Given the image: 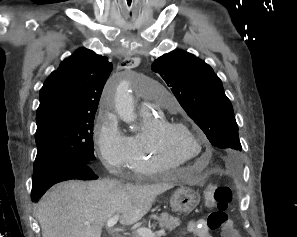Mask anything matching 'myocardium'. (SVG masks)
<instances>
[{"instance_id":"myocardium-1","label":"myocardium","mask_w":297,"mask_h":237,"mask_svg":"<svg viewBox=\"0 0 297 237\" xmlns=\"http://www.w3.org/2000/svg\"><path fill=\"white\" fill-rule=\"evenodd\" d=\"M184 130L190 134L199 144V152L196 157H183L171 150L166 144L165 137L167 133L174 130ZM151 141L156 152L165 159H170L181 164L194 161L204 152V143L201 137L196 133L189 124L180 121L163 120L157 124L151 132Z\"/></svg>"}]
</instances>
